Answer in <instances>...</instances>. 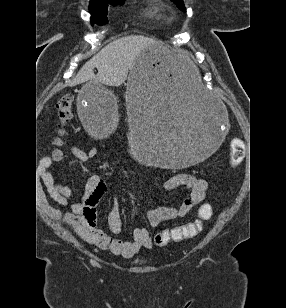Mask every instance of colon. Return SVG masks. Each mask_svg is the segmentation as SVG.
Masks as SVG:
<instances>
[{"label": "colon", "mask_w": 286, "mask_h": 308, "mask_svg": "<svg viewBox=\"0 0 286 308\" xmlns=\"http://www.w3.org/2000/svg\"><path fill=\"white\" fill-rule=\"evenodd\" d=\"M73 95L71 93L64 94L56 105L57 119L59 124V137L65 134L64 127L72 117ZM59 141V139H58ZM246 153L244 142L240 138H234L230 143V158L229 163L232 167L239 166ZM55 159L60 158V153H53ZM212 215V207L209 204H203L198 211V217L194 222L186 225L173 228L171 230H163L156 234L155 244L159 247L167 245L170 241H180L195 237L202 230V220L209 219Z\"/></svg>", "instance_id": "5ec220e1"}]
</instances>
